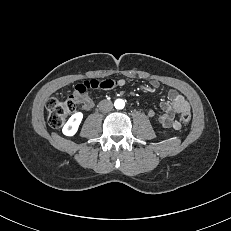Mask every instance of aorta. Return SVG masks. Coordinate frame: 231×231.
I'll return each instance as SVG.
<instances>
[{"mask_svg":"<svg viewBox=\"0 0 231 231\" xmlns=\"http://www.w3.org/2000/svg\"><path fill=\"white\" fill-rule=\"evenodd\" d=\"M114 106H115L116 109H123L124 106H125V102L122 99H117L114 102Z\"/></svg>","mask_w":231,"mask_h":231,"instance_id":"obj_1","label":"aorta"}]
</instances>
